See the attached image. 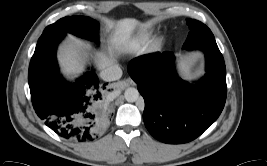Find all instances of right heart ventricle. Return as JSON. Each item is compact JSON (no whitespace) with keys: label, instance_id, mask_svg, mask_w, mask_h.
<instances>
[{"label":"right heart ventricle","instance_id":"right-heart-ventricle-1","mask_svg":"<svg viewBox=\"0 0 267 166\" xmlns=\"http://www.w3.org/2000/svg\"><path fill=\"white\" fill-rule=\"evenodd\" d=\"M152 36V30L143 29L131 41L130 46L138 48L146 44Z\"/></svg>","mask_w":267,"mask_h":166}]
</instances>
